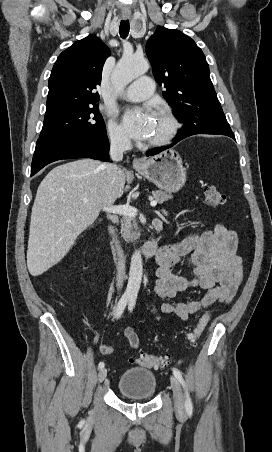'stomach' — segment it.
I'll return each instance as SVG.
<instances>
[{
  "label": "stomach",
  "mask_w": 272,
  "mask_h": 452,
  "mask_svg": "<svg viewBox=\"0 0 272 452\" xmlns=\"http://www.w3.org/2000/svg\"><path fill=\"white\" fill-rule=\"evenodd\" d=\"M136 170L166 192L179 191L186 182V171L178 152L166 150L135 166Z\"/></svg>",
  "instance_id": "1"
}]
</instances>
